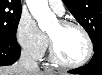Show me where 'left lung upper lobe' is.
Masks as SVG:
<instances>
[{
    "mask_svg": "<svg viewBox=\"0 0 102 75\" xmlns=\"http://www.w3.org/2000/svg\"><path fill=\"white\" fill-rule=\"evenodd\" d=\"M63 2L88 32L94 49L102 46V0H63Z\"/></svg>",
    "mask_w": 102,
    "mask_h": 75,
    "instance_id": "obj_1",
    "label": "left lung upper lobe"
}]
</instances>
